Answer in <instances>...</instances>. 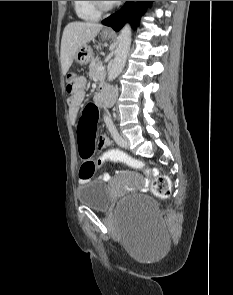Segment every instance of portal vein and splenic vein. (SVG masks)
Listing matches in <instances>:
<instances>
[{"mask_svg":"<svg viewBox=\"0 0 233 295\" xmlns=\"http://www.w3.org/2000/svg\"><path fill=\"white\" fill-rule=\"evenodd\" d=\"M104 68H105L104 66L100 65L97 70L102 71V70H104Z\"/></svg>","mask_w":233,"mask_h":295,"instance_id":"portal-vein-and-splenic-vein-1","label":"portal vein and splenic vein"}]
</instances>
